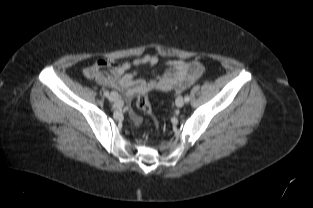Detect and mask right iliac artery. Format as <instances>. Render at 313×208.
<instances>
[{"mask_svg":"<svg viewBox=\"0 0 313 208\" xmlns=\"http://www.w3.org/2000/svg\"><path fill=\"white\" fill-rule=\"evenodd\" d=\"M104 95H105L106 97H108V96H109V91H105V92H104Z\"/></svg>","mask_w":313,"mask_h":208,"instance_id":"1","label":"right iliac artery"}]
</instances>
